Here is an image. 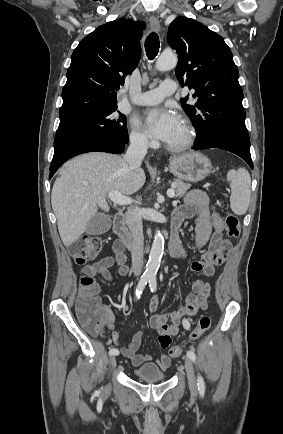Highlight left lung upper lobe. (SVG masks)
<instances>
[{
	"label": "left lung upper lobe",
	"mask_w": 283,
	"mask_h": 434,
	"mask_svg": "<svg viewBox=\"0 0 283 434\" xmlns=\"http://www.w3.org/2000/svg\"><path fill=\"white\" fill-rule=\"evenodd\" d=\"M167 41L178 53L176 76L188 86L195 104L181 99L196 129V145H237L250 149L245 125L239 72L224 39L203 24L177 17L169 26Z\"/></svg>",
	"instance_id": "1"
}]
</instances>
